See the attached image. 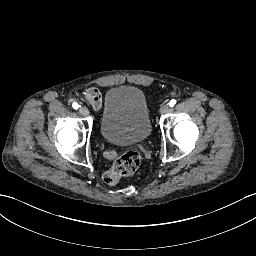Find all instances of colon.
Wrapping results in <instances>:
<instances>
[{"mask_svg":"<svg viewBox=\"0 0 256 256\" xmlns=\"http://www.w3.org/2000/svg\"><path fill=\"white\" fill-rule=\"evenodd\" d=\"M124 156L120 161L114 163L112 168L102 176V180L108 185H115L120 178L133 174L139 167L141 162L140 154L135 150H128L123 152ZM102 155L105 157L116 158L118 155L112 154L108 151H103Z\"/></svg>","mask_w":256,"mask_h":256,"instance_id":"colon-1","label":"colon"}]
</instances>
